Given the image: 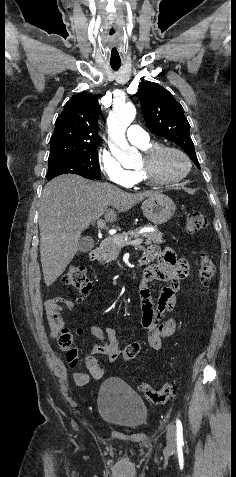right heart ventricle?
<instances>
[{
	"mask_svg": "<svg viewBox=\"0 0 236 477\" xmlns=\"http://www.w3.org/2000/svg\"><path fill=\"white\" fill-rule=\"evenodd\" d=\"M153 147H154V145L150 142L148 144L144 145V146H139V148L144 152H147L148 150H150ZM130 174H131V177H132V185L139 184V183L144 181L141 174L139 173V171L137 169L130 171Z\"/></svg>",
	"mask_w": 236,
	"mask_h": 477,
	"instance_id": "e07e8e85",
	"label": "right heart ventricle"
}]
</instances>
